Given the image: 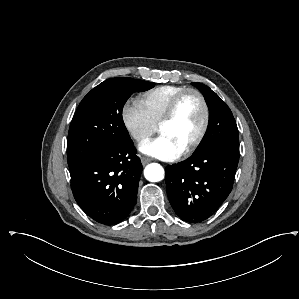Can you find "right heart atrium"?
Here are the masks:
<instances>
[{
    "label": "right heart atrium",
    "mask_w": 299,
    "mask_h": 299,
    "mask_svg": "<svg viewBox=\"0 0 299 299\" xmlns=\"http://www.w3.org/2000/svg\"><path fill=\"white\" fill-rule=\"evenodd\" d=\"M121 117L127 133L138 144L146 141L155 132V125L138 102H126Z\"/></svg>",
    "instance_id": "d8ad5b80"
}]
</instances>
